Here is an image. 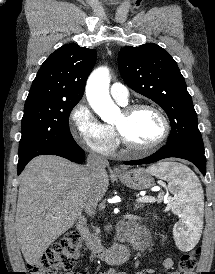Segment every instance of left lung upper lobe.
I'll return each instance as SVG.
<instances>
[{
  "label": "left lung upper lobe",
  "instance_id": "1",
  "mask_svg": "<svg viewBox=\"0 0 215 274\" xmlns=\"http://www.w3.org/2000/svg\"><path fill=\"white\" fill-rule=\"evenodd\" d=\"M118 66L130 88L156 102L167 113L171 123L167 144L204 147L184 77L166 50L154 43L127 46L118 54Z\"/></svg>",
  "mask_w": 215,
  "mask_h": 274
}]
</instances>
